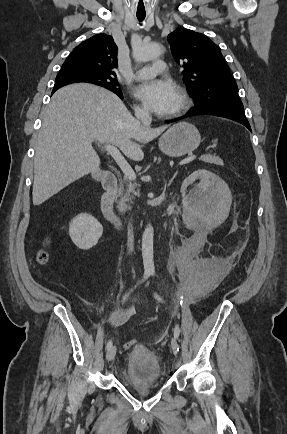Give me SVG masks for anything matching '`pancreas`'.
I'll return each instance as SVG.
<instances>
[{
	"label": "pancreas",
	"mask_w": 287,
	"mask_h": 434,
	"mask_svg": "<svg viewBox=\"0 0 287 434\" xmlns=\"http://www.w3.org/2000/svg\"><path fill=\"white\" fill-rule=\"evenodd\" d=\"M200 160H202L205 163H210V164H216V165H223V161L218 157V156H213V155H203L201 156ZM135 184H129L127 186V190L126 193L123 194V184L121 183L120 185V189H119V196H120V200L118 201V208L120 212H125L127 210V205L126 202H131V199L133 197H131V193H133L134 195H138V192L135 191Z\"/></svg>",
	"instance_id": "obj_1"
}]
</instances>
